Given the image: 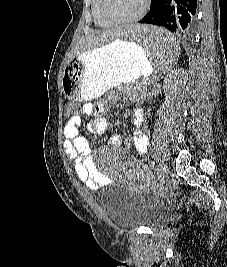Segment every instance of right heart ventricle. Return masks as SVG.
<instances>
[{
	"mask_svg": "<svg viewBox=\"0 0 227 267\" xmlns=\"http://www.w3.org/2000/svg\"><path fill=\"white\" fill-rule=\"evenodd\" d=\"M92 14L94 21L99 26L112 25L107 19L104 18L101 12V0H92Z\"/></svg>",
	"mask_w": 227,
	"mask_h": 267,
	"instance_id": "obj_1",
	"label": "right heart ventricle"
}]
</instances>
